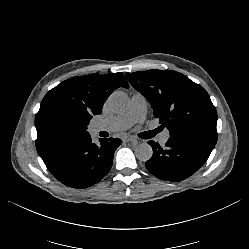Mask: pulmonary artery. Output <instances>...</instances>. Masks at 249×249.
Here are the masks:
<instances>
[{
  "label": "pulmonary artery",
  "instance_id": "obj_1",
  "mask_svg": "<svg viewBox=\"0 0 249 249\" xmlns=\"http://www.w3.org/2000/svg\"><path fill=\"white\" fill-rule=\"evenodd\" d=\"M147 113V101L141 93H135L131 98L129 109L123 113L90 125V132L96 135L101 131H124L132 127L136 123H143ZM169 131H163L158 141L161 145L167 143L169 139Z\"/></svg>",
  "mask_w": 249,
  "mask_h": 249
}]
</instances>
